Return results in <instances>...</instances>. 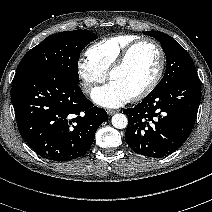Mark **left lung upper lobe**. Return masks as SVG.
<instances>
[{
    "label": "left lung upper lobe",
    "mask_w": 212,
    "mask_h": 212,
    "mask_svg": "<svg viewBox=\"0 0 212 212\" xmlns=\"http://www.w3.org/2000/svg\"><path fill=\"white\" fill-rule=\"evenodd\" d=\"M144 34L154 37L161 43L167 59L166 72L153 90L163 89L183 77L196 74L191 56L171 36L159 31H147Z\"/></svg>",
    "instance_id": "5c2ea615"
}]
</instances>
